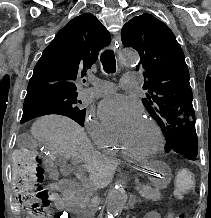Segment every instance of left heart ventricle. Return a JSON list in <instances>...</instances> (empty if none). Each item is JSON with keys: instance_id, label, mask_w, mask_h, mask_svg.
<instances>
[{"instance_id": "obj_1", "label": "left heart ventricle", "mask_w": 211, "mask_h": 218, "mask_svg": "<svg viewBox=\"0 0 211 218\" xmlns=\"http://www.w3.org/2000/svg\"><path fill=\"white\" fill-rule=\"evenodd\" d=\"M123 141L128 148L140 153H146L157 145V136L151 125L143 120Z\"/></svg>"}]
</instances>
